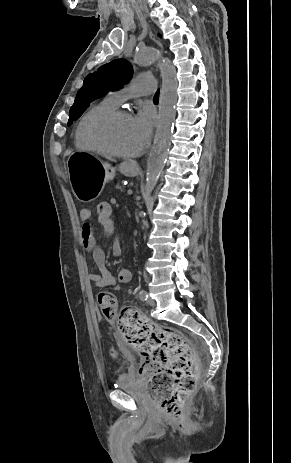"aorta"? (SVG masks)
Returning <instances> with one entry per match:
<instances>
[{"mask_svg": "<svg viewBox=\"0 0 291 463\" xmlns=\"http://www.w3.org/2000/svg\"><path fill=\"white\" fill-rule=\"evenodd\" d=\"M158 52L148 47L136 53L134 61L138 65H148L158 59ZM162 90L160 93L158 124L149 155L146 170L145 197L155 188L168 156L175 120L177 101L176 69L169 60H164L162 67Z\"/></svg>", "mask_w": 291, "mask_h": 463, "instance_id": "obj_1", "label": "aorta"}]
</instances>
